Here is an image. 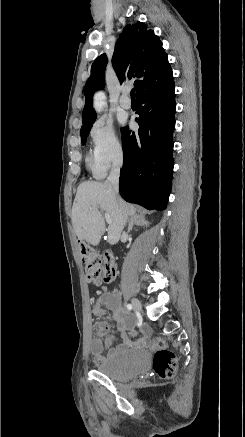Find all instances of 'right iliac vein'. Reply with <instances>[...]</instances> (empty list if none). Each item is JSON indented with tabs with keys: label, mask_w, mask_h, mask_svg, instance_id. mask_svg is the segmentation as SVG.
<instances>
[{
	"label": "right iliac vein",
	"mask_w": 245,
	"mask_h": 437,
	"mask_svg": "<svg viewBox=\"0 0 245 437\" xmlns=\"http://www.w3.org/2000/svg\"><path fill=\"white\" fill-rule=\"evenodd\" d=\"M131 303H132V306L134 307V309H135L136 311H138V312L141 311V309H142V305H141V302H140L137 298H133V299L131 300Z\"/></svg>",
	"instance_id": "1"
}]
</instances>
